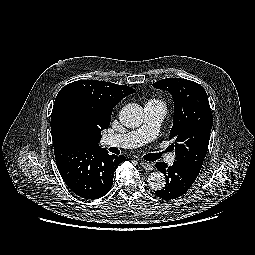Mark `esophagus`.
<instances>
[{
	"label": "esophagus",
	"instance_id": "1",
	"mask_svg": "<svg viewBox=\"0 0 255 255\" xmlns=\"http://www.w3.org/2000/svg\"><path fill=\"white\" fill-rule=\"evenodd\" d=\"M140 165L145 169V170H152L153 169V165L151 163L148 162H144L142 161L140 163Z\"/></svg>",
	"mask_w": 255,
	"mask_h": 255
}]
</instances>
